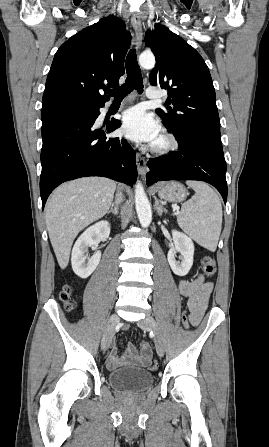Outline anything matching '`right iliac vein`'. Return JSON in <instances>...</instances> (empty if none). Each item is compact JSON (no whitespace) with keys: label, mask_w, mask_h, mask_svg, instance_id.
Returning a JSON list of instances; mask_svg holds the SVG:
<instances>
[{"label":"right iliac vein","mask_w":269,"mask_h":447,"mask_svg":"<svg viewBox=\"0 0 269 447\" xmlns=\"http://www.w3.org/2000/svg\"><path fill=\"white\" fill-rule=\"evenodd\" d=\"M119 322H120V318L116 314L112 315L111 318L109 319V321L105 327L102 341H101L103 350H107L109 348L111 341H112L114 331H115V327Z\"/></svg>","instance_id":"1"}]
</instances>
